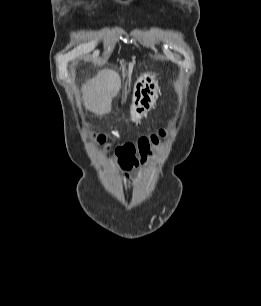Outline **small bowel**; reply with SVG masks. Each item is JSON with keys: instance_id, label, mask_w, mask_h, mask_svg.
Returning <instances> with one entry per match:
<instances>
[{"instance_id": "1", "label": "small bowel", "mask_w": 261, "mask_h": 306, "mask_svg": "<svg viewBox=\"0 0 261 306\" xmlns=\"http://www.w3.org/2000/svg\"><path fill=\"white\" fill-rule=\"evenodd\" d=\"M121 180L125 186H128L130 181L137 180V175L130 176L129 174H122Z\"/></svg>"}]
</instances>
